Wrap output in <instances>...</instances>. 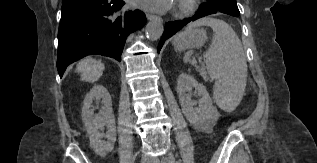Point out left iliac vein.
<instances>
[{
  "instance_id": "obj_1",
  "label": "left iliac vein",
  "mask_w": 317,
  "mask_h": 163,
  "mask_svg": "<svg viewBox=\"0 0 317 163\" xmlns=\"http://www.w3.org/2000/svg\"><path fill=\"white\" fill-rule=\"evenodd\" d=\"M169 159V163H173V159L171 157L168 158ZM151 163H160V161L158 159H153Z\"/></svg>"
}]
</instances>
